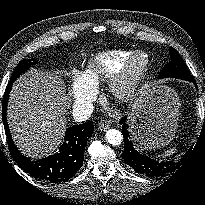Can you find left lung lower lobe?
<instances>
[{"label":"left lung lower lobe","mask_w":205,"mask_h":205,"mask_svg":"<svg viewBox=\"0 0 205 205\" xmlns=\"http://www.w3.org/2000/svg\"><path fill=\"white\" fill-rule=\"evenodd\" d=\"M187 81L194 82L197 87L194 78L188 79ZM122 134L124 137V151L122 157L127 165L132 167L136 172L145 174L151 177L161 176L168 172L173 171L177 163L174 162H158L154 159L148 158L134 149L132 141H130V135L128 132V126L124 120H121Z\"/></svg>","instance_id":"obj_1"}]
</instances>
